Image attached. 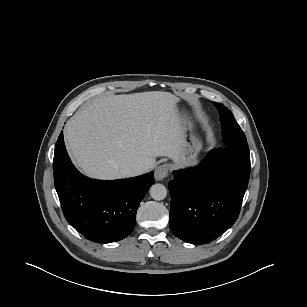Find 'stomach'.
I'll return each mask as SVG.
<instances>
[{
  "mask_svg": "<svg viewBox=\"0 0 307 307\" xmlns=\"http://www.w3.org/2000/svg\"><path fill=\"white\" fill-rule=\"evenodd\" d=\"M180 116H181L186 145L182 153L181 162L180 163L174 162L173 167L196 164L198 154L202 148L201 142L192 131L193 124L190 121V119H188V117L185 114L180 113ZM187 131H190L189 138H187L188 137Z\"/></svg>",
  "mask_w": 307,
  "mask_h": 307,
  "instance_id": "obj_1",
  "label": "stomach"
}]
</instances>
